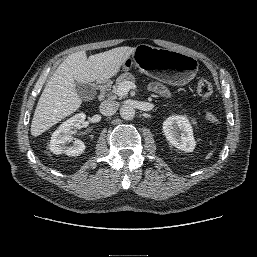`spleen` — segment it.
<instances>
[{
  "instance_id": "1",
  "label": "spleen",
  "mask_w": 257,
  "mask_h": 257,
  "mask_svg": "<svg viewBox=\"0 0 257 257\" xmlns=\"http://www.w3.org/2000/svg\"><path fill=\"white\" fill-rule=\"evenodd\" d=\"M213 153H214V150H211L210 152H208V154L205 156L204 160L206 161V160L210 159L212 157Z\"/></svg>"
}]
</instances>
